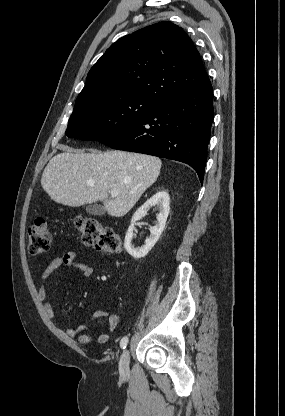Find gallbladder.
<instances>
[{
    "mask_svg": "<svg viewBox=\"0 0 285 416\" xmlns=\"http://www.w3.org/2000/svg\"><path fill=\"white\" fill-rule=\"evenodd\" d=\"M85 210L87 214H92V216H103L106 212L104 206H101V204H89Z\"/></svg>",
    "mask_w": 285,
    "mask_h": 416,
    "instance_id": "gallbladder-1",
    "label": "gallbladder"
}]
</instances>
